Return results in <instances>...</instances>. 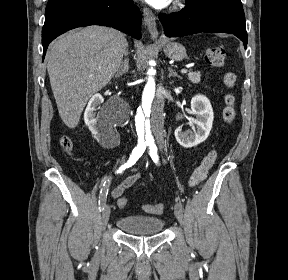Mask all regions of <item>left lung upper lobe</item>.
Wrapping results in <instances>:
<instances>
[{
  "label": "left lung upper lobe",
  "instance_id": "obj_1",
  "mask_svg": "<svg viewBox=\"0 0 288 280\" xmlns=\"http://www.w3.org/2000/svg\"><path fill=\"white\" fill-rule=\"evenodd\" d=\"M201 1L209 2L217 7L225 8L235 12L238 15L245 16L240 0H187L185 4L196 5Z\"/></svg>",
  "mask_w": 288,
  "mask_h": 280
}]
</instances>
